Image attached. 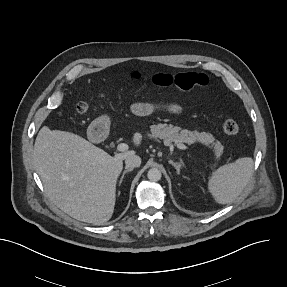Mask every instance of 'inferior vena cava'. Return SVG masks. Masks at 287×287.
<instances>
[{
	"label": "inferior vena cava",
	"mask_w": 287,
	"mask_h": 287,
	"mask_svg": "<svg viewBox=\"0 0 287 287\" xmlns=\"http://www.w3.org/2000/svg\"><path fill=\"white\" fill-rule=\"evenodd\" d=\"M125 164L129 168L139 167L141 165V158L135 154L129 155L125 159Z\"/></svg>",
	"instance_id": "obj_1"
}]
</instances>
